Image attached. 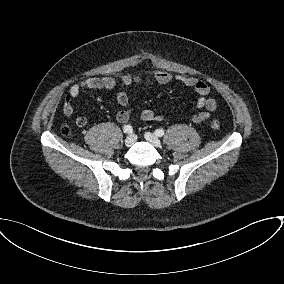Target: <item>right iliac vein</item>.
Segmentation results:
<instances>
[{"label":"right iliac vein","mask_w":284,"mask_h":284,"mask_svg":"<svg viewBox=\"0 0 284 284\" xmlns=\"http://www.w3.org/2000/svg\"><path fill=\"white\" fill-rule=\"evenodd\" d=\"M135 141H136V136L134 134H130L125 139V145L127 147H130V146H132L135 143Z\"/></svg>","instance_id":"1"}]
</instances>
